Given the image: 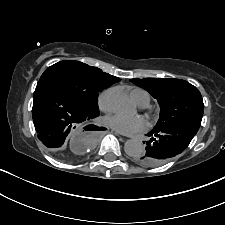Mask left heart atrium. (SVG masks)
<instances>
[{"label":"left heart atrium","instance_id":"1","mask_svg":"<svg viewBox=\"0 0 225 225\" xmlns=\"http://www.w3.org/2000/svg\"><path fill=\"white\" fill-rule=\"evenodd\" d=\"M105 123L115 131L123 134H134L145 130V120L140 116L112 114L105 118Z\"/></svg>","mask_w":225,"mask_h":225}]
</instances>
